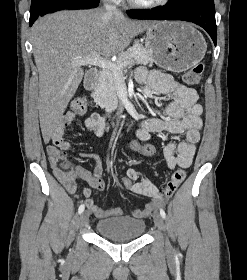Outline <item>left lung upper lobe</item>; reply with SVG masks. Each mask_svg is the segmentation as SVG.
I'll return each instance as SVG.
<instances>
[{
    "label": "left lung upper lobe",
    "mask_w": 247,
    "mask_h": 280,
    "mask_svg": "<svg viewBox=\"0 0 247 280\" xmlns=\"http://www.w3.org/2000/svg\"><path fill=\"white\" fill-rule=\"evenodd\" d=\"M193 1H197V0H170V2L168 3L170 6H174V5H182V4H187Z\"/></svg>",
    "instance_id": "5c2ea615"
}]
</instances>
